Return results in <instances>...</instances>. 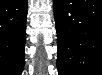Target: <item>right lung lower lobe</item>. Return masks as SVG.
<instances>
[{
	"label": "right lung lower lobe",
	"instance_id": "obj_1",
	"mask_svg": "<svg viewBox=\"0 0 102 75\" xmlns=\"http://www.w3.org/2000/svg\"><path fill=\"white\" fill-rule=\"evenodd\" d=\"M2 20V43L0 48L3 74L19 75L24 65V42L27 1H6Z\"/></svg>",
	"mask_w": 102,
	"mask_h": 75
}]
</instances>
